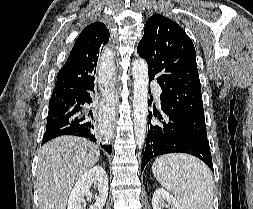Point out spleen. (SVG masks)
<instances>
[{"instance_id":"obj_1","label":"spleen","mask_w":253,"mask_h":209,"mask_svg":"<svg viewBox=\"0 0 253 209\" xmlns=\"http://www.w3.org/2000/svg\"><path fill=\"white\" fill-rule=\"evenodd\" d=\"M152 172L183 209H212L213 176L199 159L187 154H167L157 158Z\"/></svg>"}]
</instances>
